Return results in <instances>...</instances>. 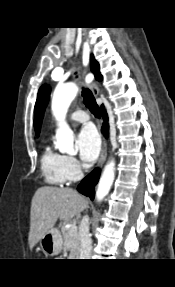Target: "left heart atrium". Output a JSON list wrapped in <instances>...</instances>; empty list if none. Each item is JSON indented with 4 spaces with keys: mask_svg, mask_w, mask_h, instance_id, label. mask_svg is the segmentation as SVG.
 Here are the masks:
<instances>
[{
    "mask_svg": "<svg viewBox=\"0 0 175 287\" xmlns=\"http://www.w3.org/2000/svg\"><path fill=\"white\" fill-rule=\"evenodd\" d=\"M76 144L79 156L84 162L91 163L97 159L101 149V140L95 128L84 127L77 136Z\"/></svg>",
    "mask_w": 175,
    "mask_h": 287,
    "instance_id": "39dd6f15",
    "label": "left heart atrium"
}]
</instances>
